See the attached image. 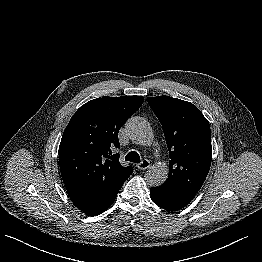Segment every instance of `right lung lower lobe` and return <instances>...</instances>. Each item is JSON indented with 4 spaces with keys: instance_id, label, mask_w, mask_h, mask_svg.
Listing matches in <instances>:
<instances>
[{
    "instance_id": "right-lung-lower-lobe-1",
    "label": "right lung lower lobe",
    "mask_w": 262,
    "mask_h": 262,
    "mask_svg": "<svg viewBox=\"0 0 262 262\" xmlns=\"http://www.w3.org/2000/svg\"><path fill=\"white\" fill-rule=\"evenodd\" d=\"M116 196H113L110 200L104 203L100 204H78L73 203L79 210H81L83 213H85L88 216H96L104 211L114 202L116 199Z\"/></svg>"
}]
</instances>
